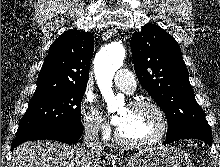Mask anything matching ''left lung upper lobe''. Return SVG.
<instances>
[{
	"label": "left lung upper lobe",
	"instance_id": "obj_1",
	"mask_svg": "<svg viewBox=\"0 0 220 167\" xmlns=\"http://www.w3.org/2000/svg\"><path fill=\"white\" fill-rule=\"evenodd\" d=\"M134 70L142 87L165 113L166 138L209 128L189 82L188 70L175 39L155 24L134 32L131 39Z\"/></svg>",
	"mask_w": 220,
	"mask_h": 167
}]
</instances>
